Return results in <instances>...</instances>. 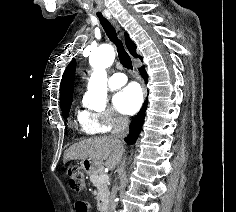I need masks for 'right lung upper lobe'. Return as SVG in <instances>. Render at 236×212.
<instances>
[{"label":"right lung upper lobe","mask_w":236,"mask_h":212,"mask_svg":"<svg viewBox=\"0 0 236 212\" xmlns=\"http://www.w3.org/2000/svg\"><path fill=\"white\" fill-rule=\"evenodd\" d=\"M125 40L126 46L129 52L134 56L141 59L139 55L136 54V45L135 43L129 38V35L125 33ZM76 69V60L73 59L67 68L64 71L62 76L61 85H60V103L72 98L73 93V81Z\"/></svg>","instance_id":"obj_1"}]
</instances>
